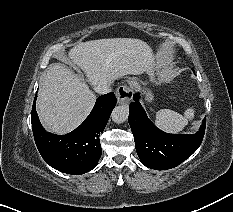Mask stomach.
Masks as SVG:
<instances>
[{"mask_svg": "<svg viewBox=\"0 0 233 212\" xmlns=\"http://www.w3.org/2000/svg\"><path fill=\"white\" fill-rule=\"evenodd\" d=\"M152 99H153V96H152L151 92H150V91H147V92H146V100H147V101H151Z\"/></svg>", "mask_w": 233, "mask_h": 212, "instance_id": "stomach-1", "label": "stomach"}]
</instances>
